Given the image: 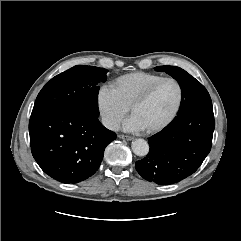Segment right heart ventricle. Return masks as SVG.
Wrapping results in <instances>:
<instances>
[{
  "label": "right heart ventricle",
  "instance_id": "1",
  "mask_svg": "<svg viewBox=\"0 0 241 241\" xmlns=\"http://www.w3.org/2000/svg\"><path fill=\"white\" fill-rule=\"evenodd\" d=\"M163 76L150 72H133L118 77L113 83L112 88L120 100L130 107L132 102L152 83L161 79Z\"/></svg>",
  "mask_w": 241,
  "mask_h": 241
}]
</instances>
